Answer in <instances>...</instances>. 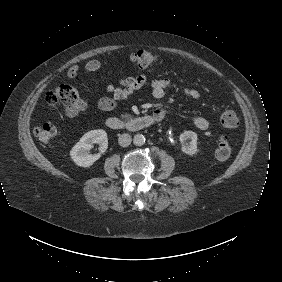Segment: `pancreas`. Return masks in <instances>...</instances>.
<instances>
[{
	"label": "pancreas",
	"instance_id": "pancreas-1",
	"mask_svg": "<svg viewBox=\"0 0 282 282\" xmlns=\"http://www.w3.org/2000/svg\"><path fill=\"white\" fill-rule=\"evenodd\" d=\"M132 117H133V116H132L131 114H128V113H125V114H122V115H121V118L124 119V120H126V121L132 119Z\"/></svg>",
	"mask_w": 282,
	"mask_h": 282
}]
</instances>
